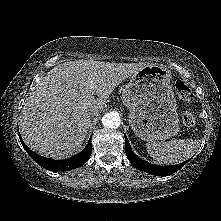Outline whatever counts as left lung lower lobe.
<instances>
[{
    "label": "left lung lower lobe",
    "instance_id": "obj_1",
    "mask_svg": "<svg viewBox=\"0 0 221 221\" xmlns=\"http://www.w3.org/2000/svg\"><path fill=\"white\" fill-rule=\"evenodd\" d=\"M125 149L126 155L130 161V163L138 170L144 171L153 175L165 176L175 173L179 169H181L189 160L177 164V165H169V166H158L148 163L140 159L131 149L129 141L125 135Z\"/></svg>",
    "mask_w": 221,
    "mask_h": 221
}]
</instances>
